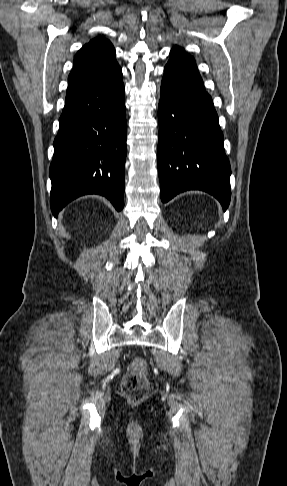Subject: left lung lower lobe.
Returning <instances> with one entry per match:
<instances>
[{
    "label": "left lung lower lobe",
    "instance_id": "obj_1",
    "mask_svg": "<svg viewBox=\"0 0 287 486\" xmlns=\"http://www.w3.org/2000/svg\"><path fill=\"white\" fill-rule=\"evenodd\" d=\"M157 150L161 200L186 190H202L230 203V163L212 98L199 72L170 57L158 106Z\"/></svg>",
    "mask_w": 287,
    "mask_h": 486
}]
</instances>
